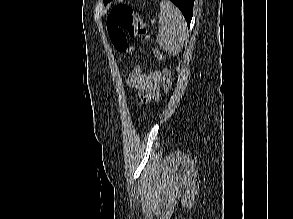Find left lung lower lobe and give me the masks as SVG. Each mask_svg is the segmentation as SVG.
I'll return each mask as SVG.
<instances>
[{
	"instance_id": "0a47b994",
	"label": "left lung lower lobe",
	"mask_w": 293,
	"mask_h": 219,
	"mask_svg": "<svg viewBox=\"0 0 293 219\" xmlns=\"http://www.w3.org/2000/svg\"><path fill=\"white\" fill-rule=\"evenodd\" d=\"M170 1L173 2L181 10L189 27L192 16H193L194 0H170Z\"/></svg>"
}]
</instances>
